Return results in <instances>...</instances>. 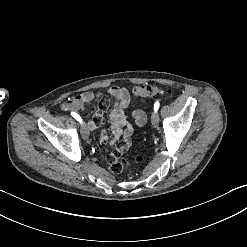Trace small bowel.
<instances>
[{"label":"small bowel","mask_w":247,"mask_h":247,"mask_svg":"<svg viewBox=\"0 0 247 247\" xmlns=\"http://www.w3.org/2000/svg\"><path fill=\"white\" fill-rule=\"evenodd\" d=\"M108 96L112 97L114 100V105L109 113V122L113 134L111 143L115 144L118 140H120V143L115 147L116 153H107L106 163L108 165H113L115 163V166H110L108 168V173L110 175H116L118 171L124 170L123 161L118 160L119 154H122L131 147L130 137L133 133L134 125L143 126L146 122V115L141 110L133 111L130 118L125 113V109L129 106L131 101L128 89L121 86H112L108 90V95L89 91L83 92L66 99L61 104V108L64 111L81 110L93 100L100 99L99 111L87 124L88 129L94 130L97 125H99L97 124V120L102 118V113L108 107ZM97 141L101 146H106L108 144V129L106 127H101L99 129Z\"/></svg>","instance_id":"1"}]
</instances>
